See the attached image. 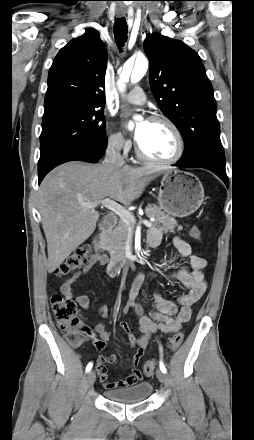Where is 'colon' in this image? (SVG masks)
<instances>
[{"label":"colon","mask_w":254,"mask_h":440,"mask_svg":"<svg viewBox=\"0 0 254 440\" xmlns=\"http://www.w3.org/2000/svg\"><path fill=\"white\" fill-rule=\"evenodd\" d=\"M190 235L197 241H201L203 237L201 230L197 226H193L190 229ZM90 254L91 249L89 245L78 247L56 268V274L67 275L82 267L87 262ZM51 308L57 327L65 332L66 340L70 345L78 346L82 344L86 337L91 334L90 330L78 319L77 305L70 298H67L63 294L54 293L51 297ZM183 338V332H177L171 337L169 343L170 352H174L180 347ZM155 368L156 362L154 360H148L144 364L143 370L147 376H150L153 374Z\"/></svg>","instance_id":"1"}]
</instances>
